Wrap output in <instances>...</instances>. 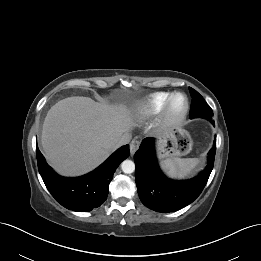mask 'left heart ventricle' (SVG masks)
<instances>
[{
  "label": "left heart ventricle",
  "instance_id": "1",
  "mask_svg": "<svg viewBox=\"0 0 261 261\" xmlns=\"http://www.w3.org/2000/svg\"><path fill=\"white\" fill-rule=\"evenodd\" d=\"M184 107V98L178 96L173 102V110L174 112H180Z\"/></svg>",
  "mask_w": 261,
  "mask_h": 261
}]
</instances>
